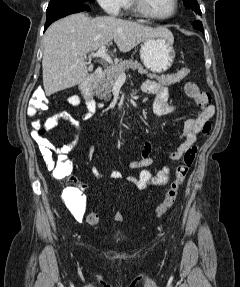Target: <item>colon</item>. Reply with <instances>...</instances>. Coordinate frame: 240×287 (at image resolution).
<instances>
[{"label": "colon", "mask_w": 240, "mask_h": 287, "mask_svg": "<svg viewBox=\"0 0 240 287\" xmlns=\"http://www.w3.org/2000/svg\"><path fill=\"white\" fill-rule=\"evenodd\" d=\"M185 94L193 99L197 105L205 106L210 102V95L201 90L199 86L194 82H187L184 86ZM47 98L43 93L34 95L30 102L29 108L36 114L40 111L47 109ZM32 127L35 131L42 136L41 124L38 120L32 122ZM211 130V123L208 122L203 127V134H209ZM198 147L192 145L186 152L183 154L180 164H178L174 171H171L169 167H163L157 173H152L149 170H143L141 173L136 176L135 186L139 189H145L148 186H167V190L163 197L161 203L155 209V216H163L175 203L178 190L180 186L184 183L187 175L195 161L197 155ZM53 175L57 179H62L68 176L71 172L72 165L71 163L61 157H58L55 162H52ZM115 221L121 222L124 219L122 212H117L114 215ZM86 221L90 225H96L99 222V217L96 213L90 212Z\"/></svg>", "instance_id": "obj_1"}]
</instances>
